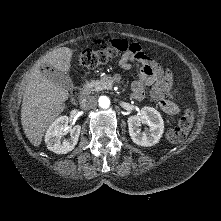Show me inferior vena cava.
<instances>
[{
    "mask_svg": "<svg viewBox=\"0 0 221 221\" xmlns=\"http://www.w3.org/2000/svg\"><path fill=\"white\" fill-rule=\"evenodd\" d=\"M96 104H97V99L94 96H88L80 102V106L83 109L93 108L94 106H96Z\"/></svg>",
    "mask_w": 221,
    "mask_h": 221,
    "instance_id": "obj_1",
    "label": "inferior vena cava"
}]
</instances>
